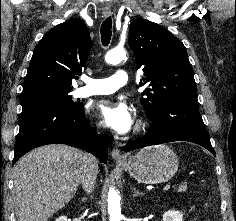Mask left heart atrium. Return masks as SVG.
<instances>
[{
    "mask_svg": "<svg viewBox=\"0 0 236 221\" xmlns=\"http://www.w3.org/2000/svg\"><path fill=\"white\" fill-rule=\"evenodd\" d=\"M94 110L104 124L113 131L126 134L132 129L133 116L126 103L103 99L95 104Z\"/></svg>",
    "mask_w": 236,
    "mask_h": 221,
    "instance_id": "1",
    "label": "left heart atrium"
}]
</instances>
